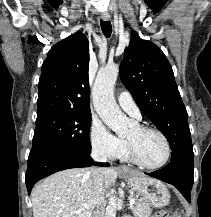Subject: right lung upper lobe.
<instances>
[{"mask_svg": "<svg viewBox=\"0 0 211 217\" xmlns=\"http://www.w3.org/2000/svg\"><path fill=\"white\" fill-rule=\"evenodd\" d=\"M89 43L80 32L55 44L42 65L37 118L52 113L90 112Z\"/></svg>", "mask_w": 211, "mask_h": 217, "instance_id": "cb5924a9", "label": "right lung upper lobe"}]
</instances>
